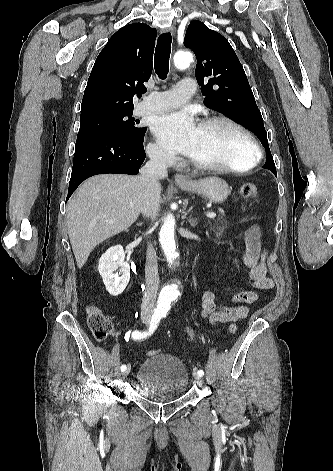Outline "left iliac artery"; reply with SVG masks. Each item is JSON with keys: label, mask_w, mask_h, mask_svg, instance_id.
Instances as JSON below:
<instances>
[{"label": "left iliac artery", "mask_w": 333, "mask_h": 471, "mask_svg": "<svg viewBox=\"0 0 333 471\" xmlns=\"http://www.w3.org/2000/svg\"><path fill=\"white\" fill-rule=\"evenodd\" d=\"M166 315H167V312H166V311H164V312L161 313V317H166ZM197 374H198L199 376H203V375H204V371H203V370H198V371H197Z\"/></svg>", "instance_id": "1"}]
</instances>
